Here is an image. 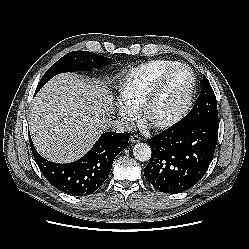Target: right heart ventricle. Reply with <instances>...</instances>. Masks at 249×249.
Instances as JSON below:
<instances>
[{"label":"right heart ventricle","instance_id":"obj_1","mask_svg":"<svg viewBox=\"0 0 249 249\" xmlns=\"http://www.w3.org/2000/svg\"><path fill=\"white\" fill-rule=\"evenodd\" d=\"M177 64L174 60L157 59L130 69L118 85L122 103L133 110L139 109L160 76Z\"/></svg>","mask_w":249,"mask_h":249}]
</instances>
